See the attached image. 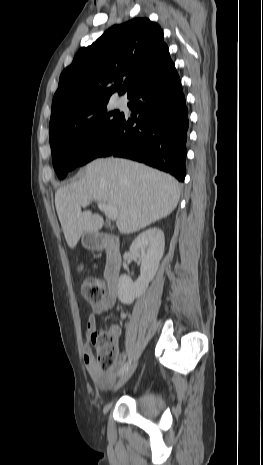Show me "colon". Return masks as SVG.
Masks as SVG:
<instances>
[{
    "label": "colon",
    "instance_id": "colon-1",
    "mask_svg": "<svg viewBox=\"0 0 263 465\" xmlns=\"http://www.w3.org/2000/svg\"><path fill=\"white\" fill-rule=\"evenodd\" d=\"M81 292L88 302L95 303L105 296L106 284L99 278L89 277L82 282ZM90 342L96 348L99 370L108 372L118 365L117 336L113 331H94Z\"/></svg>",
    "mask_w": 263,
    "mask_h": 465
}]
</instances>
